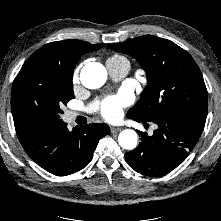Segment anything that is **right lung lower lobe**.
Returning <instances> with one entry per match:
<instances>
[{"mask_svg": "<svg viewBox=\"0 0 221 221\" xmlns=\"http://www.w3.org/2000/svg\"><path fill=\"white\" fill-rule=\"evenodd\" d=\"M110 133L108 125L92 123L69 131L66 123L33 127L18 133L24 150L40 167L66 176L83 169L99 140Z\"/></svg>", "mask_w": 221, "mask_h": 221, "instance_id": "obj_1", "label": "right lung lower lobe"}]
</instances>
